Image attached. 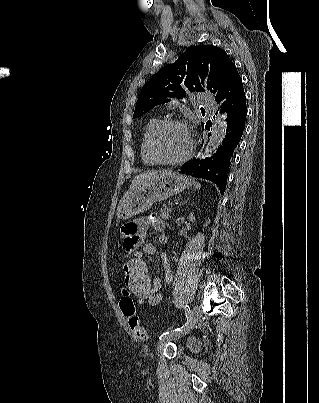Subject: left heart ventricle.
I'll return each mask as SVG.
<instances>
[{"label":"left heart ventricle","instance_id":"obj_1","mask_svg":"<svg viewBox=\"0 0 319 403\" xmlns=\"http://www.w3.org/2000/svg\"><path fill=\"white\" fill-rule=\"evenodd\" d=\"M188 148V133L180 126H168L156 138L155 149L164 159L180 158L188 151Z\"/></svg>","mask_w":319,"mask_h":403}]
</instances>
